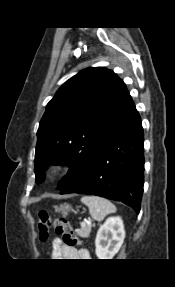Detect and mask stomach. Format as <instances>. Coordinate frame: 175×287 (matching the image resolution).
<instances>
[{
	"instance_id": "obj_1",
	"label": "stomach",
	"mask_w": 175,
	"mask_h": 287,
	"mask_svg": "<svg viewBox=\"0 0 175 287\" xmlns=\"http://www.w3.org/2000/svg\"><path fill=\"white\" fill-rule=\"evenodd\" d=\"M56 211L60 212H66L68 210L71 209V206H69L68 204H64V205H61L59 208L58 207H55Z\"/></svg>"
}]
</instances>
